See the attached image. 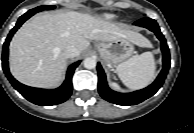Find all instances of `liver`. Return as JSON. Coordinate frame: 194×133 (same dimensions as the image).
Segmentation results:
<instances>
[{
    "label": "liver",
    "instance_id": "obj_1",
    "mask_svg": "<svg viewBox=\"0 0 194 133\" xmlns=\"http://www.w3.org/2000/svg\"><path fill=\"white\" fill-rule=\"evenodd\" d=\"M122 38L140 47H151L141 34L91 14H38L25 22L10 42V71L25 85L55 87L66 69V47L75 46L80 55L90 40L111 42Z\"/></svg>",
    "mask_w": 194,
    "mask_h": 133
}]
</instances>
